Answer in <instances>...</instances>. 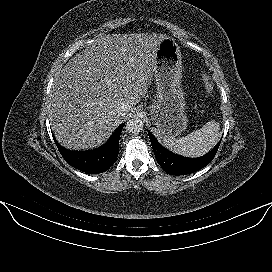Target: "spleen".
Segmentation results:
<instances>
[{
  "instance_id": "3e777b00",
  "label": "spleen",
  "mask_w": 272,
  "mask_h": 272,
  "mask_svg": "<svg viewBox=\"0 0 272 272\" xmlns=\"http://www.w3.org/2000/svg\"><path fill=\"white\" fill-rule=\"evenodd\" d=\"M220 125L209 121L202 128L185 137L175 139L172 136L164 137L163 144L173 152L186 157H199L206 154L217 143Z\"/></svg>"
}]
</instances>
